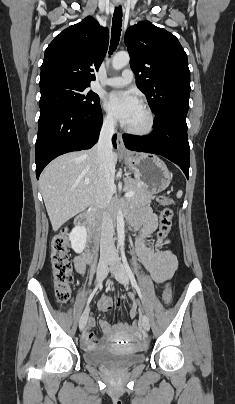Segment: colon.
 Masks as SVG:
<instances>
[{
	"mask_svg": "<svg viewBox=\"0 0 235 404\" xmlns=\"http://www.w3.org/2000/svg\"><path fill=\"white\" fill-rule=\"evenodd\" d=\"M157 202L163 207L160 214L158 237L164 240L168 236L172 226L173 210L170 207L172 201L166 196H159ZM69 247L70 241L67 229L55 235L50 243L55 297L62 305L68 303L72 297L71 283L73 281V275L68 257ZM171 298L172 286L171 283H168L164 290L162 300L165 304H168ZM133 326L137 327L138 323L134 322Z\"/></svg>",
	"mask_w": 235,
	"mask_h": 404,
	"instance_id": "colon-1",
	"label": "colon"
}]
</instances>
